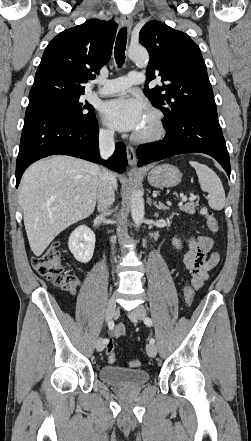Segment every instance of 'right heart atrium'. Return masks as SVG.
<instances>
[{
  "instance_id": "d8ad5b80",
  "label": "right heart atrium",
  "mask_w": 251,
  "mask_h": 441,
  "mask_svg": "<svg viewBox=\"0 0 251 441\" xmlns=\"http://www.w3.org/2000/svg\"><path fill=\"white\" fill-rule=\"evenodd\" d=\"M113 134L112 130L109 127H102L100 129V135L104 138H109Z\"/></svg>"
}]
</instances>
